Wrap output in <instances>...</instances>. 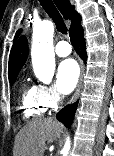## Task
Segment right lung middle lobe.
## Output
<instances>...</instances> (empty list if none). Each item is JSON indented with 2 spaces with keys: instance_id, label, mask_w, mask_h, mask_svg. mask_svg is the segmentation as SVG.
I'll return each mask as SVG.
<instances>
[{
  "instance_id": "obj_1",
  "label": "right lung middle lobe",
  "mask_w": 114,
  "mask_h": 156,
  "mask_svg": "<svg viewBox=\"0 0 114 156\" xmlns=\"http://www.w3.org/2000/svg\"><path fill=\"white\" fill-rule=\"evenodd\" d=\"M16 78H17V75L16 76L9 77L10 85H13L15 83Z\"/></svg>"
}]
</instances>
